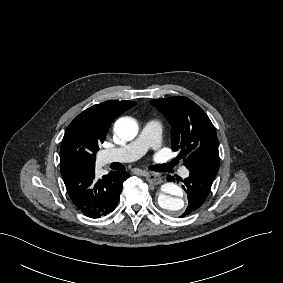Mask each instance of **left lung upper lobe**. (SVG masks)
I'll return each instance as SVG.
<instances>
[{
	"instance_id": "5c2ea615",
	"label": "left lung upper lobe",
	"mask_w": 283,
	"mask_h": 283,
	"mask_svg": "<svg viewBox=\"0 0 283 283\" xmlns=\"http://www.w3.org/2000/svg\"><path fill=\"white\" fill-rule=\"evenodd\" d=\"M172 126V149L190 169L196 166L219 168L216 130L206 113L186 97H168L151 102Z\"/></svg>"
}]
</instances>
